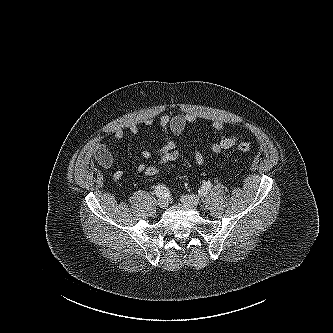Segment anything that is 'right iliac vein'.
Segmentation results:
<instances>
[{"mask_svg": "<svg viewBox=\"0 0 333 333\" xmlns=\"http://www.w3.org/2000/svg\"><path fill=\"white\" fill-rule=\"evenodd\" d=\"M157 204L161 208H166L168 206V200L166 198H160V199H158Z\"/></svg>", "mask_w": 333, "mask_h": 333, "instance_id": "right-iliac-vein-1", "label": "right iliac vein"}]
</instances>
